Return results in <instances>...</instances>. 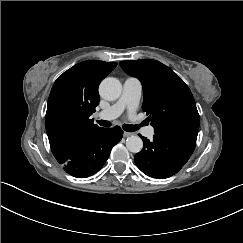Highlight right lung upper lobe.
Segmentation results:
<instances>
[{
	"instance_id": "cb5924a9",
	"label": "right lung upper lobe",
	"mask_w": 243,
	"mask_h": 243,
	"mask_svg": "<svg viewBox=\"0 0 243 243\" xmlns=\"http://www.w3.org/2000/svg\"><path fill=\"white\" fill-rule=\"evenodd\" d=\"M116 65V62L87 60L74 65L55 81L48 99L45 126L52 153L60 164L100 129L89 117L99 104V83Z\"/></svg>"
}]
</instances>
